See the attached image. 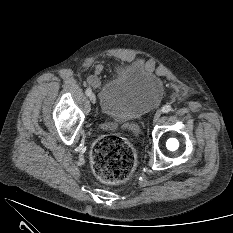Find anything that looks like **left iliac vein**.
Returning <instances> with one entry per match:
<instances>
[{
  "label": "left iliac vein",
  "mask_w": 233,
  "mask_h": 233,
  "mask_svg": "<svg viewBox=\"0 0 233 233\" xmlns=\"http://www.w3.org/2000/svg\"><path fill=\"white\" fill-rule=\"evenodd\" d=\"M162 112L161 110H157L155 115H154V123H156L158 121V119L160 118Z\"/></svg>",
  "instance_id": "4c4485c4"
}]
</instances>
